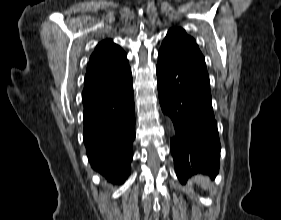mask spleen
I'll return each mask as SVG.
<instances>
[{"label":"spleen","mask_w":281,"mask_h":220,"mask_svg":"<svg viewBox=\"0 0 281 220\" xmlns=\"http://www.w3.org/2000/svg\"><path fill=\"white\" fill-rule=\"evenodd\" d=\"M194 182L198 185H201V187L203 189H207V190L212 189V185H211L209 179L207 177L202 176V175L195 176Z\"/></svg>","instance_id":"3e777b00"}]
</instances>
